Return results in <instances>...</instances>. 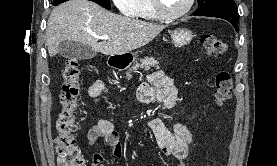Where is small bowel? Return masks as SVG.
Masks as SVG:
<instances>
[{
    "mask_svg": "<svg viewBox=\"0 0 277 166\" xmlns=\"http://www.w3.org/2000/svg\"><path fill=\"white\" fill-rule=\"evenodd\" d=\"M149 83L143 85L139 90V98L144 103L160 102L167 108L175 106L178 92L173 81L163 71H155L149 75ZM106 86L102 80L95 81L89 88V96L98 102L105 91ZM157 146L166 155L174 159L176 166H185L183 160L188 156L192 143V134L183 123H177L170 129L160 118H154L149 122ZM103 138L111 148L112 154L120 158L122 147L114 124L105 118H98L95 125L87 132V144L93 146L99 139ZM103 155L96 152L92 156L93 166H104Z\"/></svg>",
    "mask_w": 277,
    "mask_h": 166,
    "instance_id": "obj_1",
    "label": "small bowel"
}]
</instances>
